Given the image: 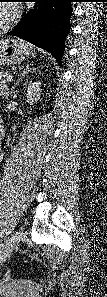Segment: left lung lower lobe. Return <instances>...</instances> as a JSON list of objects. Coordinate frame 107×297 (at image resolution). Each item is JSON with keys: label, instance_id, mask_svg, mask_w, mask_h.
I'll list each match as a JSON object with an SVG mask.
<instances>
[{"label": "left lung lower lobe", "instance_id": "0a47b994", "mask_svg": "<svg viewBox=\"0 0 107 297\" xmlns=\"http://www.w3.org/2000/svg\"><path fill=\"white\" fill-rule=\"evenodd\" d=\"M34 9H30L23 19L8 33L20 37L39 48L51 53L61 64L64 41L70 31L73 0H33Z\"/></svg>", "mask_w": 107, "mask_h": 297}]
</instances>
